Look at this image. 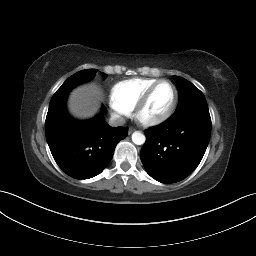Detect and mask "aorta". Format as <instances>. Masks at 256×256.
<instances>
[{"label": "aorta", "mask_w": 256, "mask_h": 256, "mask_svg": "<svg viewBox=\"0 0 256 256\" xmlns=\"http://www.w3.org/2000/svg\"><path fill=\"white\" fill-rule=\"evenodd\" d=\"M145 136L144 134H142L141 132L139 131H135L133 134H132V141L134 144L136 145H142L145 143Z\"/></svg>", "instance_id": "762f6f07"}]
</instances>
